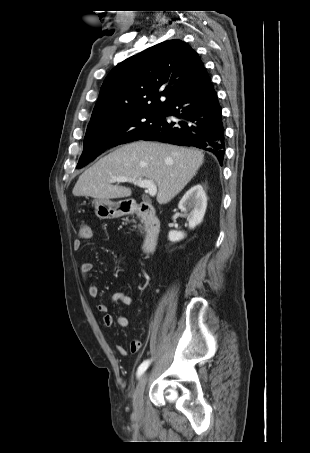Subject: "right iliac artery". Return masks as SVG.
I'll return each instance as SVG.
<instances>
[{"label": "right iliac artery", "mask_w": 310, "mask_h": 453, "mask_svg": "<svg viewBox=\"0 0 310 453\" xmlns=\"http://www.w3.org/2000/svg\"><path fill=\"white\" fill-rule=\"evenodd\" d=\"M149 364H150L149 360H145L144 362L141 363V365L138 367V370H137L138 377H140L145 372V370L148 368Z\"/></svg>", "instance_id": "1"}]
</instances>
